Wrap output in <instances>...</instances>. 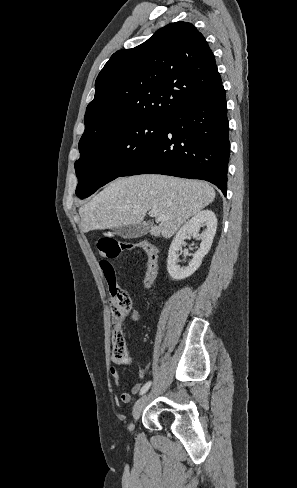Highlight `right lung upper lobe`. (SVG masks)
<instances>
[{"label": "right lung upper lobe", "mask_w": 297, "mask_h": 488, "mask_svg": "<svg viewBox=\"0 0 297 488\" xmlns=\"http://www.w3.org/2000/svg\"><path fill=\"white\" fill-rule=\"evenodd\" d=\"M222 80L203 35L187 22L159 29L143 44L114 53L95 82L79 141H94L144 119H168Z\"/></svg>", "instance_id": "obj_1"}]
</instances>
